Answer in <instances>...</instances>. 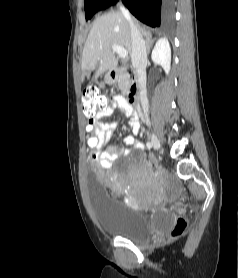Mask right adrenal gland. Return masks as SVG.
<instances>
[{"mask_svg": "<svg viewBox=\"0 0 238 278\" xmlns=\"http://www.w3.org/2000/svg\"><path fill=\"white\" fill-rule=\"evenodd\" d=\"M155 39L149 38L146 39V48H147V53L149 54L150 52V47L153 45Z\"/></svg>", "mask_w": 238, "mask_h": 278, "instance_id": "1", "label": "right adrenal gland"}]
</instances>
